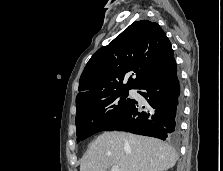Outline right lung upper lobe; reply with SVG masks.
<instances>
[{
    "mask_svg": "<svg viewBox=\"0 0 223 171\" xmlns=\"http://www.w3.org/2000/svg\"><path fill=\"white\" fill-rule=\"evenodd\" d=\"M173 59L171 43L157 23H132L88 61L80 77L76 109L119 91L137 89ZM130 71L135 77L123 84Z\"/></svg>",
    "mask_w": 223,
    "mask_h": 171,
    "instance_id": "cb5924a9",
    "label": "right lung upper lobe"
}]
</instances>
